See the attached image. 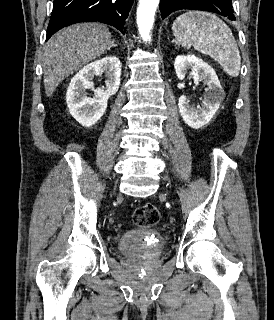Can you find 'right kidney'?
<instances>
[{
    "label": "right kidney",
    "instance_id": "obj_1",
    "mask_svg": "<svg viewBox=\"0 0 274 320\" xmlns=\"http://www.w3.org/2000/svg\"><path fill=\"white\" fill-rule=\"evenodd\" d=\"M106 74L105 88L95 90L94 76ZM121 82V62L116 56H105L96 62H91L73 76L66 94V102L72 118H75L84 128L94 126L106 112L110 96L119 90ZM85 90H93V98H87Z\"/></svg>",
    "mask_w": 274,
    "mask_h": 320
}]
</instances>
